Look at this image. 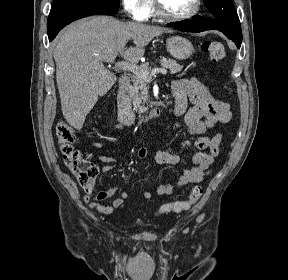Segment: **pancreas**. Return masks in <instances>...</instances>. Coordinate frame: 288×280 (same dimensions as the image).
I'll return each mask as SVG.
<instances>
[{
  "instance_id": "obj_1",
  "label": "pancreas",
  "mask_w": 288,
  "mask_h": 280,
  "mask_svg": "<svg viewBox=\"0 0 288 280\" xmlns=\"http://www.w3.org/2000/svg\"><path fill=\"white\" fill-rule=\"evenodd\" d=\"M161 64L168 68L171 74H176L182 70V66L173 59L161 60ZM141 70L148 71L149 63L142 64ZM133 86L130 90V98L133 101L134 111L137 113H144L147 111L149 103L147 80L142 78L140 75L135 74L132 77Z\"/></svg>"
}]
</instances>
